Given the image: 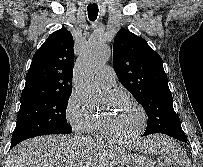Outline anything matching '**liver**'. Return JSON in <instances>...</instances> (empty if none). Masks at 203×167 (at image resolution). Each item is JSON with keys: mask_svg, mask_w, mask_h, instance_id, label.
Listing matches in <instances>:
<instances>
[{"mask_svg": "<svg viewBox=\"0 0 203 167\" xmlns=\"http://www.w3.org/2000/svg\"><path fill=\"white\" fill-rule=\"evenodd\" d=\"M127 156L121 147L48 135L18 144L9 152L5 167H114Z\"/></svg>", "mask_w": 203, "mask_h": 167, "instance_id": "obj_1", "label": "liver"}]
</instances>
